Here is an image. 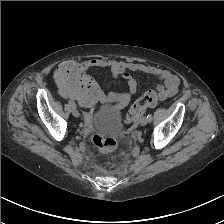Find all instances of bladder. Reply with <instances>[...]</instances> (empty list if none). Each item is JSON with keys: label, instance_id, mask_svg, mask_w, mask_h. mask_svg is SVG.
Instances as JSON below:
<instances>
[{"label": "bladder", "instance_id": "bladder-1", "mask_svg": "<svg viewBox=\"0 0 224 224\" xmlns=\"http://www.w3.org/2000/svg\"><path fill=\"white\" fill-rule=\"evenodd\" d=\"M120 109L115 106H103L92 116V124L100 133L117 134L121 131Z\"/></svg>", "mask_w": 224, "mask_h": 224}]
</instances>
